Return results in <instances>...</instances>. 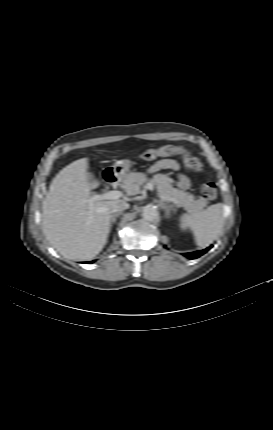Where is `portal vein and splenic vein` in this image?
<instances>
[{
    "instance_id": "1",
    "label": "portal vein and splenic vein",
    "mask_w": 273,
    "mask_h": 430,
    "mask_svg": "<svg viewBox=\"0 0 273 430\" xmlns=\"http://www.w3.org/2000/svg\"><path fill=\"white\" fill-rule=\"evenodd\" d=\"M145 188H146V189H149V190H151V191H153V190H154V186H153V184H152V183H148V184H146ZM122 196H123V193H122L121 191H108V192H106V193H104V194H96V195H93V196H91L87 201H88L89 203H93V202L98 201V200L119 199V198H121ZM159 197H160V199H161V200H163V201L176 203V200H175V199H173V198H170V197H167V196H164V195H160V194H159Z\"/></svg>"
}]
</instances>
